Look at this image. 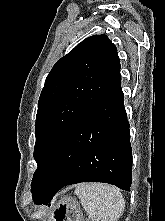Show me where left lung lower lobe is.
<instances>
[{"instance_id":"1","label":"left lung lower lobe","mask_w":165,"mask_h":221,"mask_svg":"<svg viewBox=\"0 0 165 221\" xmlns=\"http://www.w3.org/2000/svg\"><path fill=\"white\" fill-rule=\"evenodd\" d=\"M121 75L69 130L56 149L33 195L48 205L63 186L103 182L130 191L132 151Z\"/></svg>"}]
</instances>
